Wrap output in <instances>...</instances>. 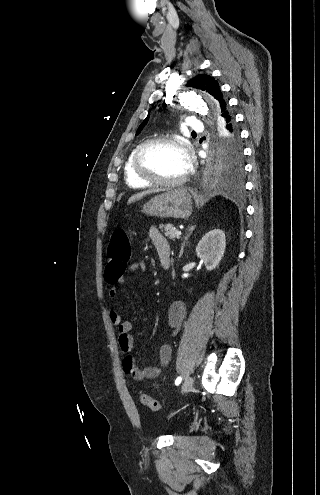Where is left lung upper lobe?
I'll return each mask as SVG.
<instances>
[{
	"label": "left lung upper lobe",
	"instance_id": "obj_1",
	"mask_svg": "<svg viewBox=\"0 0 320 495\" xmlns=\"http://www.w3.org/2000/svg\"><path fill=\"white\" fill-rule=\"evenodd\" d=\"M187 87L197 88L206 91L212 95L219 103V115L228 110L227 102L220 90L218 82L209 75L200 74L188 81ZM149 116L141 123L138 134L144 125L147 123ZM221 138L218 145V158L222 169L231 176H237L242 172V146L240 142V134L237 127L234 125L230 130L224 126L221 129Z\"/></svg>",
	"mask_w": 320,
	"mask_h": 495
}]
</instances>
